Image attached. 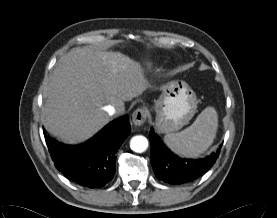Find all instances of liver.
Listing matches in <instances>:
<instances>
[{"label":"liver","mask_w":277,"mask_h":218,"mask_svg":"<svg viewBox=\"0 0 277 218\" xmlns=\"http://www.w3.org/2000/svg\"><path fill=\"white\" fill-rule=\"evenodd\" d=\"M149 87L141 65L128 56L74 48L60 58L46 87L43 123L67 143L85 141L110 121L107 105L124 107Z\"/></svg>","instance_id":"6515ba94"}]
</instances>
